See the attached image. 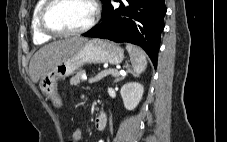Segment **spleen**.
I'll return each mask as SVG.
<instances>
[{"instance_id":"spleen-1","label":"spleen","mask_w":227,"mask_h":142,"mask_svg":"<svg viewBox=\"0 0 227 142\" xmlns=\"http://www.w3.org/2000/svg\"><path fill=\"white\" fill-rule=\"evenodd\" d=\"M126 49L130 56L133 72L139 76L147 67V59L144 51L134 45L127 44Z\"/></svg>"}]
</instances>
